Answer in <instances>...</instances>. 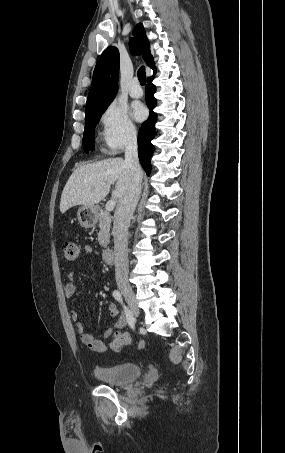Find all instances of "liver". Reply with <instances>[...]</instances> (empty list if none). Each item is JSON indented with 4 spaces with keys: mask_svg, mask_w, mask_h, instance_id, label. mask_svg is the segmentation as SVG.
<instances>
[{
    "mask_svg": "<svg viewBox=\"0 0 285 453\" xmlns=\"http://www.w3.org/2000/svg\"><path fill=\"white\" fill-rule=\"evenodd\" d=\"M133 174L122 158H110L79 166L69 177L60 201L64 214L77 205L92 206L99 203L116 182L112 199L120 200L129 190Z\"/></svg>",
    "mask_w": 285,
    "mask_h": 453,
    "instance_id": "obj_1",
    "label": "liver"
}]
</instances>
